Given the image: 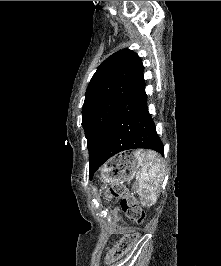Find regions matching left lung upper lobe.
Here are the masks:
<instances>
[{
	"instance_id": "1",
	"label": "left lung upper lobe",
	"mask_w": 221,
	"mask_h": 266,
	"mask_svg": "<svg viewBox=\"0 0 221 266\" xmlns=\"http://www.w3.org/2000/svg\"><path fill=\"white\" fill-rule=\"evenodd\" d=\"M140 57L129 49L108 57L94 73L85 94L82 126L92 161L114 115L145 80Z\"/></svg>"
}]
</instances>
